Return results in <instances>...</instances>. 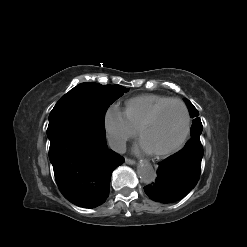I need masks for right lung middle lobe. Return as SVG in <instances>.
I'll use <instances>...</instances> for the list:
<instances>
[{
    "label": "right lung middle lobe",
    "mask_w": 247,
    "mask_h": 247,
    "mask_svg": "<svg viewBox=\"0 0 247 247\" xmlns=\"http://www.w3.org/2000/svg\"><path fill=\"white\" fill-rule=\"evenodd\" d=\"M120 85L81 83L61 97L49 115V121L58 118L77 117L84 119L102 132L107 108L125 92Z\"/></svg>",
    "instance_id": "1"
}]
</instances>
